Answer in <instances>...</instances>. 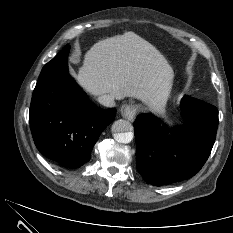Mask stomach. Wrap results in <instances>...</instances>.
I'll return each instance as SVG.
<instances>
[{
  "mask_svg": "<svg viewBox=\"0 0 233 233\" xmlns=\"http://www.w3.org/2000/svg\"><path fill=\"white\" fill-rule=\"evenodd\" d=\"M148 106H149L150 108H153V107H154L153 105H150V104H148Z\"/></svg>",
  "mask_w": 233,
  "mask_h": 233,
  "instance_id": "0dacf381",
  "label": "stomach"
}]
</instances>
